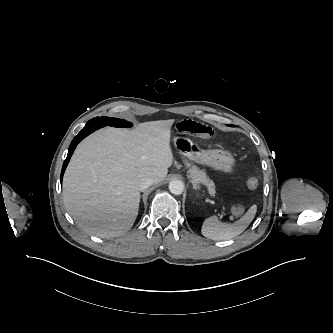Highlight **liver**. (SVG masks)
<instances>
[{"instance_id":"6515ba94","label":"liver","mask_w":333,"mask_h":333,"mask_svg":"<svg viewBox=\"0 0 333 333\" xmlns=\"http://www.w3.org/2000/svg\"><path fill=\"white\" fill-rule=\"evenodd\" d=\"M174 120L107 127L75 150L63 179L65 206L87 233L117 237L132 228L140 202L139 182L165 179L173 163L170 133Z\"/></svg>"}]
</instances>
